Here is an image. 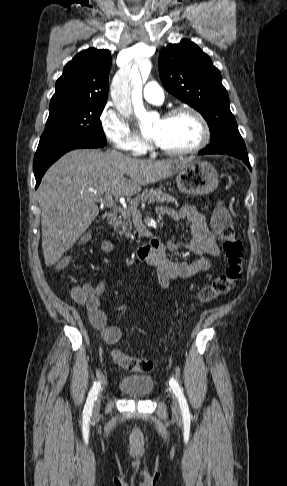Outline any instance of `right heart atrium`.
Masks as SVG:
<instances>
[{
    "label": "right heart atrium",
    "instance_id": "1",
    "mask_svg": "<svg viewBox=\"0 0 287 486\" xmlns=\"http://www.w3.org/2000/svg\"><path fill=\"white\" fill-rule=\"evenodd\" d=\"M100 125L105 137L117 149L136 153L145 148V143L135 133L125 119L110 106H105L100 114Z\"/></svg>",
    "mask_w": 287,
    "mask_h": 486
}]
</instances>
